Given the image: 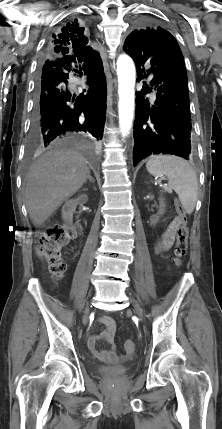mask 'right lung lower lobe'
<instances>
[{
    "instance_id": "obj_1",
    "label": "right lung lower lobe",
    "mask_w": 222,
    "mask_h": 429,
    "mask_svg": "<svg viewBox=\"0 0 222 429\" xmlns=\"http://www.w3.org/2000/svg\"><path fill=\"white\" fill-rule=\"evenodd\" d=\"M82 63L79 70L73 65ZM100 55L84 62L72 57H49L41 63L37 95L31 121V136L44 146L62 143L72 134L86 133L97 140L103 136L107 90ZM86 75V94L72 95L67 89L68 73Z\"/></svg>"
}]
</instances>
